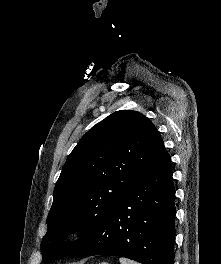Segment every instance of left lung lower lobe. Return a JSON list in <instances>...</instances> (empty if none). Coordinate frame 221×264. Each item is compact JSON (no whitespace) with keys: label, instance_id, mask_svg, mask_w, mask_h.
I'll return each instance as SVG.
<instances>
[{"label":"left lung lower lobe","instance_id":"left-lung-lower-lobe-1","mask_svg":"<svg viewBox=\"0 0 221 264\" xmlns=\"http://www.w3.org/2000/svg\"><path fill=\"white\" fill-rule=\"evenodd\" d=\"M174 197L171 158L165 151L69 256L109 255L142 264H173Z\"/></svg>","mask_w":221,"mask_h":264}]
</instances>
